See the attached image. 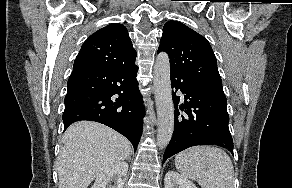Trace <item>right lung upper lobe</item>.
Returning a JSON list of instances; mask_svg holds the SVG:
<instances>
[{
    "label": "right lung upper lobe",
    "instance_id": "right-lung-upper-lobe-1",
    "mask_svg": "<svg viewBox=\"0 0 292 188\" xmlns=\"http://www.w3.org/2000/svg\"><path fill=\"white\" fill-rule=\"evenodd\" d=\"M136 51L124 25L112 23L93 33L82 45L74 68H125L135 64Z\"/></svg>",
    "mask_w": 292,
    "mask_h": 188
}]
</instances>
